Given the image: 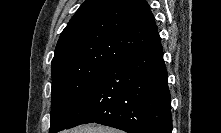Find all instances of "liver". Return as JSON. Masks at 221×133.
I'll return each instance as SVG.
<instances>
[{"mask_svg": "<svg viewBox=\"0 0 221 133\" xmlns=\"http://www.w3.org/2000/svg\"><path fill=\"white\" fill-rule=\"evenodd\" d=\"M68 133H120V132L116 129H112L101 125H82L68 131Z\"/></svg>", "mask_w": 221, "mask_h": 133, "instance_id": "obj_1", "label": "liver"}]
</instances>
